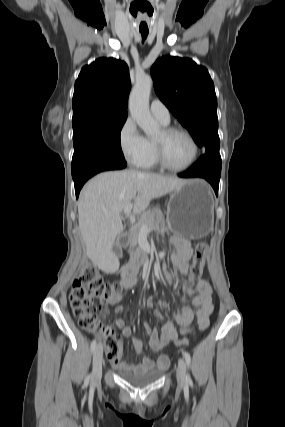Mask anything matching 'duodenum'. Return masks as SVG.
Listing matches in <instances>:
<instances>
[{
  "label": "duodenum",
  "mask_w": 285,
  "mask_h": 427,
  "mask_svg": "<svg viewBox=\"0 0 285 427\" xmlns=\"http://www.w3.org/2000/svg\"><path fill=\"white\" fill-rule=\"evenodd\" d=\"M144 256H145L144 253H141L136 260L131 261L124 268V270L122 272V276L128 283H130L132 281V277L135 275V271H136V268L138 266V263L144 259Z\"/></svg>",
  "instance_id": "1"
}]
</instances>
